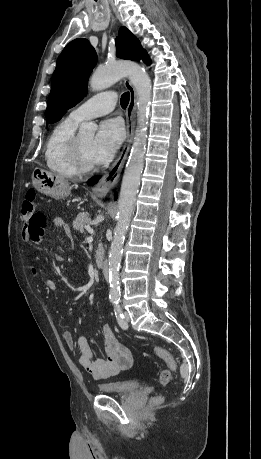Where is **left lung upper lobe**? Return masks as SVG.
<instances>
[{
  "label": "left lung upper lobe",
  "mask_w": 261,
  "mask_h": 459,
  "mask_svg": "<svg viewBox=\"0 0 261 459\" xmlns=\"http://www.w3.org/2000/svg\"><path fill=\"white\" fill-rule=\"evenodd\" d=\"M116 55L122 59L143 60L150 58L139 40L125 27L116 38ZM97 55L90 43L83 38L71 41L58 57L53 73L51 92L46 109V123L59 121L67 109L75 106L86 94L88 78L96 64Z\"/></svg>",
  "instance_id": "5c2ea615"
}]
</instances>
